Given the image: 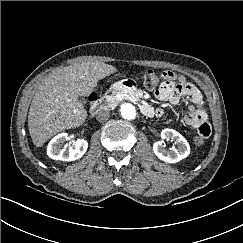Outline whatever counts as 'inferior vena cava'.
<instances>
[{
	"instance_id": "1",
	"label": "inferior vena cava",
	"mask_w": 243,
	"mask_h": 243,
	"mask_svg": "<svg viewBox=\"0 0 243 243\" xmlns=\"http://www.w3.org/2000/svg\"><path fill=\"white\" fill-rule=\"evenodd\" d=\"M110 117V112L108 109H101L96 114V119L100 122L108 120Z\"/></svg>"
}]
</instances>
